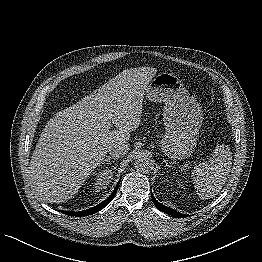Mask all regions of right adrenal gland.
I'll return each instance as SVG.
<instances>
[{"label":"right adrenal gland","mask_w":262,"mask_h":262,"mask_svg":"<svg viewBox=\"0 0 262 262\" xmlns=\"http://www.w3.org/2000/svg\"><path fill=\"white\" fill-rule=\"evenodd\" d=\"M111 160H116V158L107 156L103 162H106L107 165L111 164Z\"/></svg>","instance_id":"1"}]
</instances>
